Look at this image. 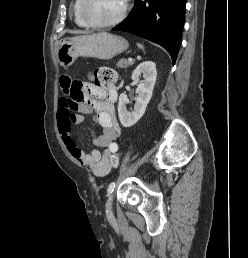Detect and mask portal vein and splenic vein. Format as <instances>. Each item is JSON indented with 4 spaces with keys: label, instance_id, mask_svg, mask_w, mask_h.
Here are the masks:
<instances>
[{
    "label": "portal vein and splenic vein",
    "instance_id": "portal-vein-and-splenic-vein-1",
    "mask_svg": "<svg viewBox=\"0 0 248 258\" xmlns=\"http://www.w3.org/2000/svg\"><path fill=\"white\" fill-rule=\"evenodd\" d=\"M128 61L132 62V61H133V59H132L131 57H129V58H128Z\"/></svg>",
    "mask_w": 248,
    "mask_h": 258
}]
</instances>
